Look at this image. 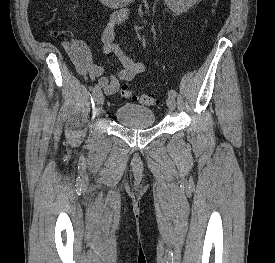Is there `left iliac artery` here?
<instances>
[{
    "label": "left iliac artery",
    "instance_id": "44dca946",
    "mask_svg": "<svg viewBox=\"0 0 275 263\" xmlns=\"http://www.w3.org/2000/svg\"><path fill=\"white\" fill-rule=\"evenodd\" d=\"M176 95H177V93H176V91L175 90H170L169 92H168V96L169 97H176Z\"/></svg>",
    "mask_w": 275,
    "mask_h": 263
}]
</instances>
